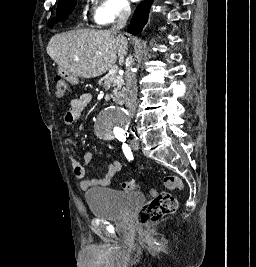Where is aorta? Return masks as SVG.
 <instances>
[{"instance_id": "762f6f07", "label": "aorta", "mask_w": 256, "mask_h": 267, "mask_svg": "<svg viewBox=\"0 0 256 267\" xmlns=\"http://www.w3.org/2000/svg\"><path fill=\"white\" fill-rule=\"evenodd\" d=\"M106 117H96L98 127H127L125 117H121L118 108H109ZM111 133H121V128H96V138H111Z\"/></svg>"}]
</instances>
